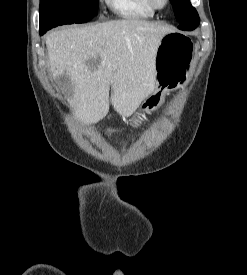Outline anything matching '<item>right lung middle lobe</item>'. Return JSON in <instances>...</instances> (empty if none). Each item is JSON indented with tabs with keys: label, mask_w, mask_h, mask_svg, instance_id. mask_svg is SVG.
<instances>
[{
	"label": "right lung middle lobe",
	"mask_w": 247,
	"mask_h": 275,
	"mask_svg": "<svg viewBox=\"0 0 247 275\" xmlns=\"http://www.w3.org/2000/svg\"><path fill=\"white\" fill-rule=\"evenodd\" d=\"M40 29L86 23L98 14V0H40Z\"/></svg>",
	"instance_id": "dd1d6c3e"
}]
</instances>
